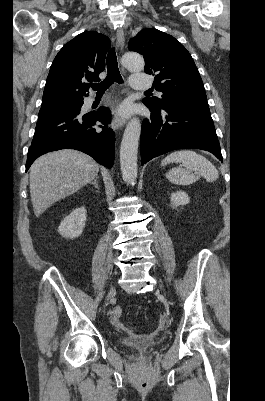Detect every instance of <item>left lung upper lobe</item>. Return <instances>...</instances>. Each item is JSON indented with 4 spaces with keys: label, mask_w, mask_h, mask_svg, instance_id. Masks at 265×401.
Wrapping results in <instances>:
<instances>
[{
    "label": "left lung upper lobe",
    "mask_w": 265,
    "mask_h": 401,
    "mask_svg": "<svg viewBox=\"0 0 265 401\" xmlns=\"http://www.w3.org/2000/svg\"><path fill=\"white\" fill-rule=\"evenodd\" d=\"M129 50L145 59V73L155 74L153 85L163 95L143 99V103L160 109L183 101L207 102L198 69L185 47L173 36L157 29H143L129 41Z\"/></svg>",
    "instance_id": "obj_1"
}]
</instances>
